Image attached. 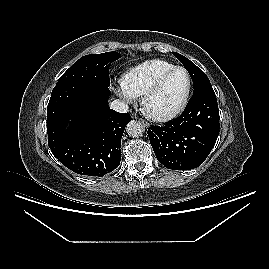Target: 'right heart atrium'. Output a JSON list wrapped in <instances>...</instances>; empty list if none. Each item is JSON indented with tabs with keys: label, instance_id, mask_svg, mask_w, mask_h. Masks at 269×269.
<instances>
[{
	"label": "right heart atrium",
	"instance_id": "right-heart-atrium-1",
	"mask_svg": "<svg viewBox=\"0 0 269 269\" xmlns=\"http://www.w3.org/2000/svg\"><path fill=\"white\" fill-rule=\"evenodd\" d=\"M116 93L127 102H134L137 97L126 88L123 81L116 87Z\"/></svg>",
	"mask_w": 269,
	"mask_h": 269
}]
</instances>
